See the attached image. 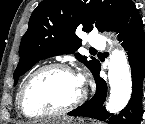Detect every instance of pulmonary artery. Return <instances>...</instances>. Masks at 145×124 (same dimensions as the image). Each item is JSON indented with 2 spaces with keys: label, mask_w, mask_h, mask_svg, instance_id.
Wrapping results in <instances>:
<instances>
[{
  "label": "pulmonary artery",
  "mask_w": 145,
  "mask_h": 124,
  "mask_svg": "<svg viewBox=\"0 0 145 124\" xmlns=\"http://www.w3.org/2000/svg\"><path fill=\"white\" fill-rule=\"evenodd\" d=\"M89 46L92 48H104V40L101 34L90 32L88 37Z\"/></svg>",
  "instance_id": "obj_1"
}]
</instances>
